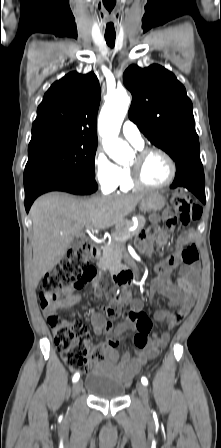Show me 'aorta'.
Segmentation results:
<instances>
[{
  "instance_id": "aorta-1",
  "label": "aorta",
  "mask_w": 221,
  "mask_h": 448,
  "mask_svg": "<svg viewBox=\"0 0 221 448\" xmlns=\"http://www.w3.org/2000/svg\"><path fill=\"white\" fill-rule=\"evenodd\" d=\"M129 103L127 92L118 91L108 96L99 116V133L104 150L118 164H126L132 156L128 143L118 138Z\"/></svg>"
}]
</instances>
